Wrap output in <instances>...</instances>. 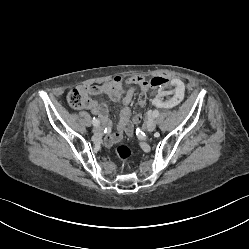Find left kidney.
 I'll list each match as a JSON object with an SVG mask.
<instances>
[{"instance_id": "5707ae66", "label": "left kidney", "mask_w": 249, "mask_h": 249, "mask_svg": "<svg viewBox=\"0 0 249 249\" xmlns=\"http://www.w3.org/2000/svg\"><path fill=\"white\" fill-rule=\"evenodd\" d=\"M187 91L186 80L182 76H172L166 83L164 88H161L153 96V107L157 111L169 109L177 105Z\"/></svg>"}]
</instances>
